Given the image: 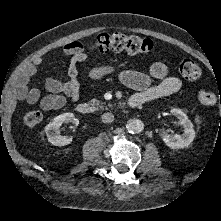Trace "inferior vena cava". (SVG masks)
Instances as JSON below:
<instances>
[{
  "instance_id": "1",
  "label": "inferior vena cava",
  "mask_w": 221,
  "mask_h": 221,
  "mask_svg": "<svg viewBox=\"0 0 221 221\" xmlns=\"http://www.w3.org/2000/svg\"><path fill=\"white\" fill-rule=\"evenodd\" d=\"M114 120V115L112 113H104L102 115V121L104 123H111Z\"/></svg>"
}]
</instances>
